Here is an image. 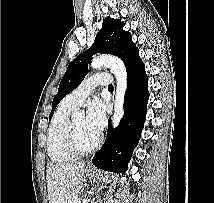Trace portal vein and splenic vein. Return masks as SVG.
Here are the masks:
<instances>
[{
	"instance_id": "obj_1",
	"label": "portal vein and splenic vein",
	"mask_w": 214,
	"mask_h": 203,
	"mask_svg": "<svg viewBox=\"0 0 214 203\" xmlns=\"http://www.w3.org/2000/svg\"><path fill=\"white\" fill-rule=\"evenodd\" d=\"M83 202L86 203V202H87V199L83 200ZM77 203H81V201H80V200H77Z\"/></svg>"
}]
</instances>
